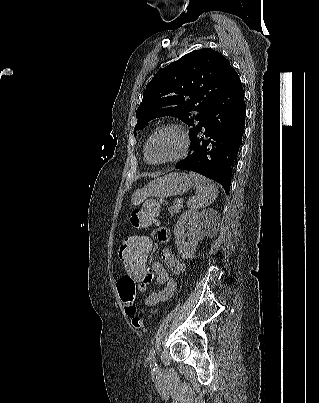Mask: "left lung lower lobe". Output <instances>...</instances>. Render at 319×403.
I'll list each match as a JSON object with an SVG mask.
<instances>
[{
    "mask_svg": "<svg viewBox=\"0 0 319 403\" xmlns=\"http://www.w3.org/2000/svg\"><path fill=\"white\" fill-rule=\"evenodd\" d=\"M246 106L241 80L232 67L200 127L188 156L176 168L200 173L229 193L232 170L245 128Z\"/></svg>",
    "mask_w": 319,
    "mask_h": 403,
    "instance_id": "obj_1",
    "label": "left lung lower lobe"
}]
</instances>
